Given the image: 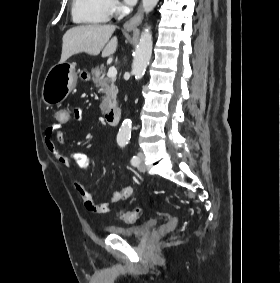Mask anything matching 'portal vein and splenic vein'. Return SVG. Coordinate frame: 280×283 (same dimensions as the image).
<instances>
[{
  "instance_id": "obj_1",
  "label": "portal vein and splenic vein",
  "mask_w": 280,
  "mask_h": 283,
  "mask_svg": "<svg viewBox=\"0 0 280 283\" xmlns=\"http://www.w3.org/2000/svg\"><path fill=\"white\" fill-rule=\"evenodd\" d=\"M117 75V69L115 67H110L107 72L108 78H115Z\"/></svg>"
}]
</instances>
